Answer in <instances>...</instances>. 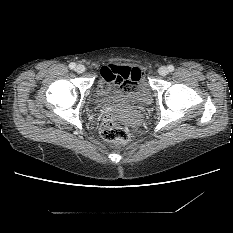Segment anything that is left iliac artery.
<instances>
[{
    "mask_svg": "<svg viewBox=\"0 0 233 233\" xmlns=\"http://www.w3.org/2000/svg\"><path fill=\"white\" fill-rule=\"evenodd\" d=\"M168 70H169L170 72H173V71H174V66H173V65H169V66H168Z\"/></svg>",
    "mask_w": 233,
    "mask_h": 233,
    "instance_id": "1",
    "label": "left iliac artery"
}]
</instances>
